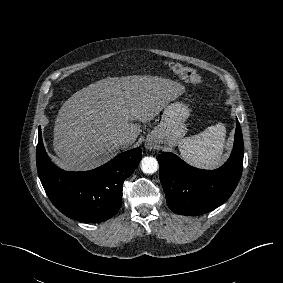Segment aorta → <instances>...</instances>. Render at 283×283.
Returning <instances> with one entry per match:
<instances>
[{"instance_id": "762f6f07", "label": "aorta", "mask_w": 283, "mask_h": 283, "mask_svg": "<svg viewBox=\"0 0 283 283\" xmlns=\"http://www.w3.org/2000/svg\"><path fill=\"white\" fill-rule=\"evenodd\" d=\"M158 161L154 157H144L141 161V170L145 174H153L158 170Z\"/></svg>"}]
</instances>
